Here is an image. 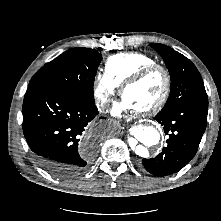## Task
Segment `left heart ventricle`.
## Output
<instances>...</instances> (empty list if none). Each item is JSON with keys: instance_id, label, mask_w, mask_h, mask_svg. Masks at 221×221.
<instances>
[{"instance_id": "b2bd125f", "label": "left heart ventricle", "mask_w": 221, "mask_h": 221, "mask_svg": "<svg viewBox=\"0 0 221 221\" xmlns=\"http://www.w3.org/2000/svg\"><path fill=\"white\" fill-rule=\"evenodd\" d=\"M164 90V78L160 72H156L141 82L130 86L124 97L136 110L145 109L155 103Z\"/></svg>"}]
</instances>
